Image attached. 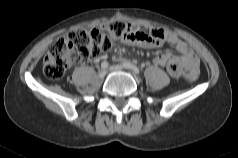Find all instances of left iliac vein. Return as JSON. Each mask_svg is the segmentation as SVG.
<instances>
[{
  "label": "left iliac vein",
  "instance_id": "obj_1",
  "mask_svg": "<svg viewBox=\"0 0 238 158\" xmlns=\"http://www.w3.org/2000/svg\"><path fill=\"white\" fill-rule=\"evenodd\" d=\"M124 68L120 65H113L109 68L110 71H122Z\"/></svg>",
  "mask_w": 238,
  "mask_h": 158
}]
</instances>
